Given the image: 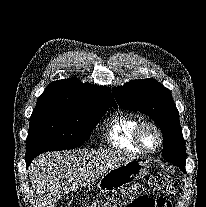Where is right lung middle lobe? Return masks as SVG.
I'll use <instances>...</instances> for the list:
<instances>
[{"instance_id":"right-lung-middle-lobe-1","label":"right lung middle lobe","mask_w":206,"mask_h":207,"mask_svg":"<svg viewBox=\"0 0 206 207\" xmlns=\"http://www.w3.org/2000/svg\"><path fill=\"white\" fill-rule=\"evenodd\" d=\"M108 108L37 104L30 118L26 155L80 146Z\"/></svg>"}]
</instances>
